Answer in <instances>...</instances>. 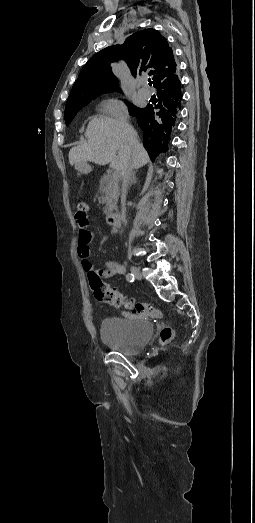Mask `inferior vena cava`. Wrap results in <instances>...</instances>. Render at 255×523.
<instances>
[{
	"instance_id": "obj_1",
	"label": "inferior vena cava",
	"mask_w": 255,
	"mask_h": 523,
	"mask_svg": "<svg viewBox=\"0 0 255 523\" xmlns=\"http://www.w3.org/2000/svg\"><path fill=\"white\" fill-rule=\"evenodd\" d=\"M121 176L123 178L122 182V188H121V222L122 224H126V208H125V200H126V194L129 186V182L133 176V168L131 166V162H127L125 170L121 172Z\"/></svg>"
}]
</instances>
